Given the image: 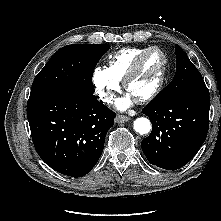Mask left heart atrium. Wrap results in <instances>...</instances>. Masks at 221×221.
<instances>
[{"label": "left heart atrium", "instance_id": "left-heart-atrium-1", "mask_svg": "<svg viewBox=\"0 0 221 221\" xmlns=\"http://www.w3.org/2000/svg\"><path fill=\"white\" fill-rule=\"evenodd\" d=\"M132 102V96L128 93L124 98L116 101V105L119 109H125Z\"/></svg>", "mask_w": 221, "mask_h": 221}]
</instances>
